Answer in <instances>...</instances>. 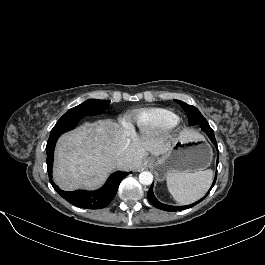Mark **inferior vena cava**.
Listing matches in <instances>:
<instances>
[{"label":"inferior vena cava","mask_w":265,"mask_h":265,"mask_svg":"<svg viewBox=\"0 0 265 265\" xmlns=\"http://www.w3.org/2000/svg\"><path fill=\"white\" fill-rule=\"evenodd\" d=\"M127 147L128 144L125 143L122 147L115 149V160L118 165H122L126 162L125 151Z\"/></svg>","instance_id":"1"}]
</instances>
